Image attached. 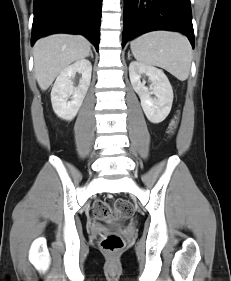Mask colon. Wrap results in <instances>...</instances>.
Here are the masks:
<instances>
[{
  "instance_id": "5ec220e1",
  "label": "colon",
  "mask_w": 231,
  "mask_h": 281,
  "mask_svg": "<svg viewBox=\"0 0 231 281\" xmlns=\"http://www.w3.org/2000/svg\"><path fill=\"white\" fill-rule=\"evenodd\" d=\"M179 122V115L176 114L170 124L168 132L173 134ZM134 213L133 205L125 200H115L112 203L98 200L93 205V214L98 219L110 220L112 218L131 217ZM101 246L108 252H116L123 246V240L116 234L105 235L101 239Z\"/></svg>"
}]
</instances>
